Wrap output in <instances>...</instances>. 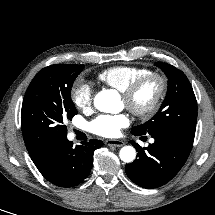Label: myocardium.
I'll use <instances>...</instances> for the list:
<instances>
[{"label": "myocardium", "mask_w": 215, "mask_h": 215, "mask_svg": "<svg viewBox=\"0 0 215 215\" xmlns=\"http://www.w3.org/2000/svg\"><path fill=\"white\" fill-rule=\"evenodd\" d=\"M150 81L156 82L157 84L156 93L149 104L145 106H139L135 103L136 96L142 89V87ZM166 91H167L166 77L160 72L149 71L135 79L121 93L122 98L125 100L126 107L134 115L142 119H148L152 117L159 109L166 94Z\"/></svg>", "instance_id": "f54148a6"}]
</instances>
